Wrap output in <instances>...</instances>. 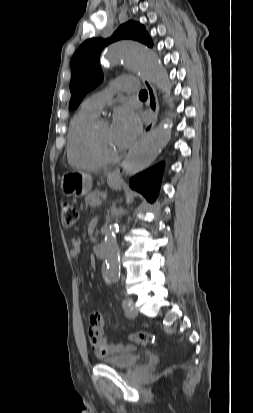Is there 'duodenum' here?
Instances as JSON below:
<instances>
[{
	"label": "duodenum",
	"instance_id": "1",
	"mask_svg": "<svg viewBox=\"0 0 253 413\" xmlns=\"http://www.w3.org/2000/svg\"><path fill=\"white\" fill-rule=\"evenodd\" d=\"M94 253L97 257L103 258L105 256V247L101 243H97L93 247Z\"/></svg>",
	"mask_w": 253,
	"mask_h": 413
}]
</instances>
